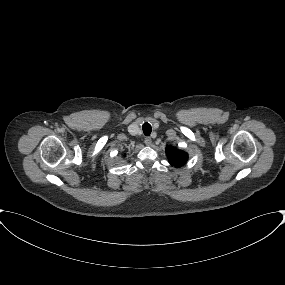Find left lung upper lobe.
Wrapping results in <instances>:
<instances>
[{
    "label": "left lung upper lobe",
    "mask_w": 285,
    "mask_h": 285,
    "mask_svg": "<svg viewBox=\"0 0 285 285\" xmlns=\"http://www.w3.org/2000/svg\"><path fill=\"white\" fill-rule=\"evenodd\" d=\"M166 155L168 156L169 163L175 167L183 166L188 160L186 152L178 150L173 146H168L166 148Z\"/></svg>",
    "instance_id": "1"
}]
</instances>
